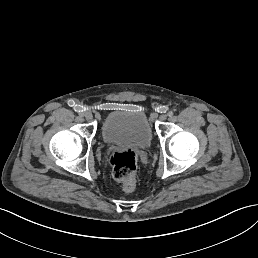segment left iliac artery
<instances>
[{"label": "left iliac artery", "mask_w": 258, "mask_h": 258, "mask_svg": "<svg viewBox=\"0 0 258 258\" xmlns=\"http://www.w3.org/2000/svg\"><path fill=\"white\" fill-rule=\"evenodd\" d=\"M167 115H168L169 117H172V116L174 115V112H173V111H169V112L167 113Z\"/></svg>", "instance_id": "1"}]
</instances>
